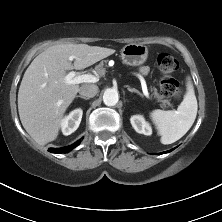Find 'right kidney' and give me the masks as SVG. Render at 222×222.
Returning a JSON list of instances; mask_svg holds the SVG:
<instances>
[{"label":"right kidney","mask_w":222,"mask_h":222,"mask_svg":"<svg viewBox=\"0 0 222 222\" xmlns=\"http://www.w3.org/2000/svg\"><path fill=\"white\" fill-rule=\"evenodd\" d=\"M82 109H75L65 116L61 121L62 133L66 136L72 134L77 130L82 119Z\"/></svg>","instance_id":"right-kidney-1"}]
</instances>
